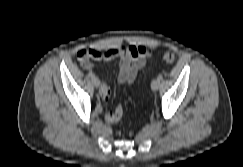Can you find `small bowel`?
I'll return each mask as SVG.
<instances>
[{
  "mask_svg": "<svg viewBox=\"0 0 243 167\" xmlns=\"http://www.w3.org/2000/svg\"><path fill=\"white\" fill-rule=\"evenodd\" d=\"M88 55L78 57L81 66L87 70L93 67L92 60L111 61L117 57L120 59L119 82L130 85L137 76L138 71L143 68L151 57V50L144 46L121 45L105 51L89 49ZM111 95L110 87L103 83L100 88V97L104 103L109 101ZM122 116V108L119 106L114 111L105 109L104 117L108 123H115Z\"/></svg>",
  "mask_w": 243,
  "mask_h": 167,
  "instance_id": "obj_1",
  "label": "small bowel"
}]
</instances>
